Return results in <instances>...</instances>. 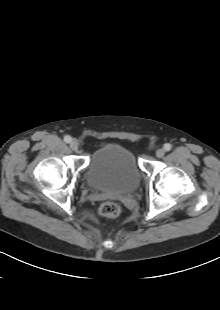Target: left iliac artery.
Segmentation results:
<instances>
[{"instance_id":"obj_1","label":"left iliac artery","mask_w":220,"mask_h":310,"mask_svg":"<svg viewBox=\"0 0 220 310\" xmlns=\"http://www.w3.org/2000/svg\"><path fill=\"white\" fill-rule=\"evenodd\" d=\"M171 148H172V145H171V144H169V143L164 144V149H165L166 151H170Z\"/></svg>"}]
</instances>
